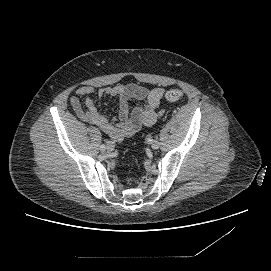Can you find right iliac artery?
<instances>
[{
	"mask_svg": "<svg viewBox=\"0 0 271 271\" xmlns=\"http://www.w3.org/2000/svg\"><path fill=\"white\" fill-rule=\"evenodd\" d=\"M105 149H106V146H105L104 144L100 146V150H101L102 152H104Z\"/></svg>",
	"mask_w": 271,
	"mask_h": 271,
	"instance_id": "obj_1",
	"label": "right iliac artery"
}]
</instances>
